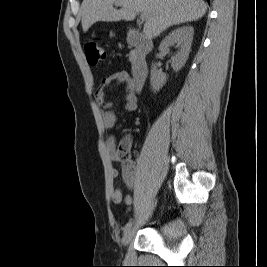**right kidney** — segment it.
<instances>
[{
	"instance_id": "ca27d5eb",
	"label": "right kidney",
	"mask_w": 267,
	"mask_h": 267,
	"mask_svg": "<svg viewBox=\"0 0 267 267\" xmlns=\"http://www.w3.org/2000/svg\"><path fill=\"white\" fill-rule=\"evenodd\" d=\"M193 34L194 30L190 26L178 27L171 31L160 43L159 51L162 55L168 54L171 46L176 45L179 48L177 54L171 57V66L174 71H179L185 65L190 53ZM166 79V74L160 72L155 64L152 65L150 82L154 92L162 88Z\"/></svg>"
}]
</instances>
